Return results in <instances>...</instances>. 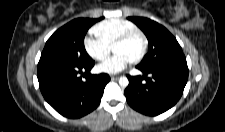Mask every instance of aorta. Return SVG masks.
Returning <instances> with one entry per match:
<instances>
[{"label":"aorta","instance_id":"obj_1","mask_svg":"<svg viewBox=\"0 0 225 132\" xmlns=\"http://www.w3.org/2000/svg\"><path fill=\"white\" fill-rule=\"evenodd\" d=\"M129 84V80L127 79V77H120L119 78V85L123 88L127 87Z\"/></svg>","mask_w":225,"mask_h":132}]
</instances>
